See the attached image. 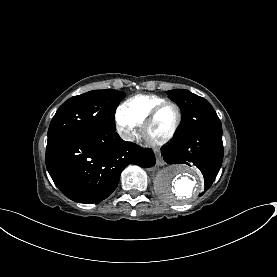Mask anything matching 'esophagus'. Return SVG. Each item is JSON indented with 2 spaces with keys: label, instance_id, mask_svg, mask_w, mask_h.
Segmentation results:
<instances>
[{
  "label": "esophagus",
  "instance_id": "1",
  "mask_svg": "<svg viewBox=\"0 0 277 277\" xmlns=\"http://www.w3.org/2000/svg\"><path fill=\"white\" fill-rule=\"evenodd\" d=\"M157 165L159 166H163L164 165V161L161 157L157 158Z\"/></svg>",
  "mask_w": 277,
  "mask_h": 277
}]
</instances>
